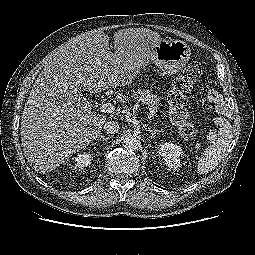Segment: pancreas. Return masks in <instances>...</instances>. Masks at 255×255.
<instances>
[{
  "label": "pancreas",
  "mask_w": 255,
  "mask_h": 255,
  "mask_svg": "<svg viewBox=\"0 0 255 255\" xmlns=\"http://www.w3.org/2000/svg\"><path fill=\"white\" fill-rule=\"evenodd\" d=\"M132 98L141 101L143 104L147 105L150 110L158 112L160 109L159 99L157 95H154L151 91L138 88L137 90L131 91Z\"/></svg>",
  "instance_id": "cf45deb5"
}]
</instances>
